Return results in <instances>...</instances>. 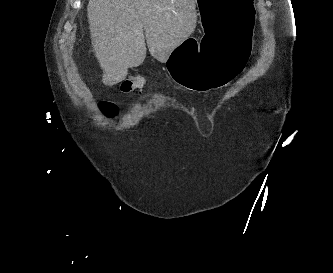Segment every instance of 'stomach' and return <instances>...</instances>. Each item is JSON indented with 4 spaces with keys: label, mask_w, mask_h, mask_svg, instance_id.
<instances>
[{
    "label": "stomach",
    "mask_w": 333,
    "mask_h": 273,
    "mask_svg": "<svg viewBox=\"0 0 333 273\" xmlns=\"http://www.w3.org/2000/svg\"><path fill=\"white\" fill-rule=\"evenodd\" d=\"M202 31L168 53L167 69L179 85L198 92L236 81L252 51L254 0H196ZM197 45V49H195Z\"/></svg>",
    "instance_id": "obj_1"
}]
</instances>
